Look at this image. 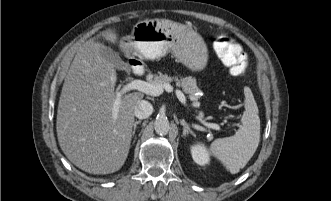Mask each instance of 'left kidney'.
Segmentation results:
<instances>
[{
  "label": "left kidney",
  "mask_w": 331,
  "mask_h": 201,
  "mask_svg": "<svg viewBox=\"0 0 331 201\" xmlns=\"http://www.w3.org/2000/svg\"><path fill=\"white\" fill-rule=\"evenodd\" d=\"M191 155L193 160L199 165L203 166L209 163V154L201 144L191 147Z\"/></svg>",
  "instance_id": "1"
}]
</instances>
